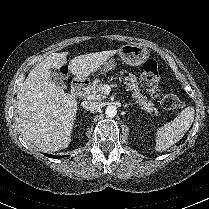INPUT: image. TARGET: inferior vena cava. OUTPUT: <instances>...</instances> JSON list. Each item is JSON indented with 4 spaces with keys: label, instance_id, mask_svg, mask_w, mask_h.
<instances>
[{
    "label": "inferior vena cava",
    "instance_id": "obj_1",
    "mask_svg": "<svg viewBox=\"0 0 209 209\" xmlns=\"http://www.w3.org/2000/svg\"><path fill=\"white\" fill-rule=\"evenodd\" d=\"M82 106L86 110H90V111H98L101 108V104L99 102H93V101H84L82 103Z\"/></svg>",
    "mask_w": 209,
    "mask_h": 209
}]
</instances>
